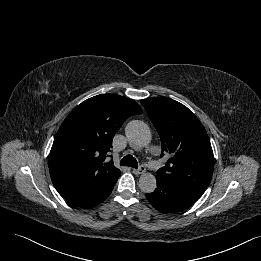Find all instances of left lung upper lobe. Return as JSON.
<instances>
[{
    "instance_id": "1",
    "label": "left lung upper lobe",
    "mask_w": 261,
    "mask_h": 261,
    "mask_svg": "<svg viewBox=\"0 0 261 261\" xmlns=\"http://www.w3.org/2000/svg\"><path fill=\"white\" fill-rule=\"evenodd\" d=\"M141 104L161 138V157H169L156 178L205 192L213 174L214 156L199 119L170 98H147Z\"/></svg>"
}]
</instances>
